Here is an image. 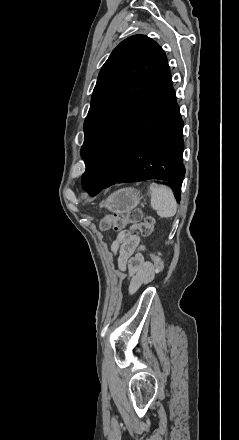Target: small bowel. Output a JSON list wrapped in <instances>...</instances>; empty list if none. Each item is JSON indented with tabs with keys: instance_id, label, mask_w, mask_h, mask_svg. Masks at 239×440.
Wrapping results in <instances>:
<instances>
[{
	"instance_id": "obj_1",
	"label": "small bowel",
	"mask_w": 239,
	"mask_h": 440,
	"mask_svg": "<svg viewBox=\"0 0 239 440\" xmlns=\"http://www.w3.org/2000/svg\"><path fill=\"white\" fill-rule=\"evenodd\" d=\"M139 242V236L134 234L125 238L118 236L111 245L112 252L117 256L118 268L128 273L130 293L149 283L156 272L151 262L145 261L141 253H136Z\"/></svg>"
}]
</instances>
